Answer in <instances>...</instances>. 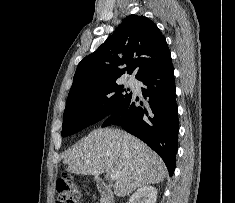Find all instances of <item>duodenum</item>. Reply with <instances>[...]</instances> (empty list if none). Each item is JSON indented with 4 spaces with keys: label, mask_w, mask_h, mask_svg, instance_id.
Segmentation results:
<instances>
[{
    "label": "duodenum",
    "mask_w": 235,
    "mask_h": 203,
    "mask_svg": "<svg viewBox=\"0 0 235 203\" xmlns=\"http://www.w3.org/2000/svg\"><path fill=\"white\" fill-rule=\"evenodd\" d=\"M95 185L101 196L102 203H115V197L110 186L101 178L95 179Z\"/></svg>",
    "instance_id": "obj_1"
}]
</instances>
